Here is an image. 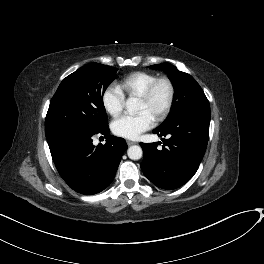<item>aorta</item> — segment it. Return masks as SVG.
<instances>
[{
    "label": "aorta",
    "mask_w": 264,
    "mask_h": 264,
    "mask_svg": "<svg viewBox=\"0 0 264 264\" xmlns=\"http://www.w3.org/2000/svg\"><path fill=\"white\" fill-rule=\"evenodd\" d=\"M126 109L129 114H135L138 111V101L135 98H129L126 101ZM128 157L132 160H139L142 157V148L137 145H133L128 148Z\"/></svg>",
    "instance_id": "aorta-1"
}]
</instances>
